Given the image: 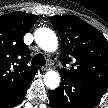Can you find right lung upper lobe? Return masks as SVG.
<instances>
[{"instance_id":"cb5924a9","label":"right lung upper lobe","mask_w":108,"mask_h":108,"mask_svg":"<svg viewBox=\"0 0 108 108\" xmlns=\"http://www.w3.org/2000/svg\"><path fill=\"white\" fill-rule=\"evenodd\" d=\"M37 16L13 12L0 16V95L15 92L30 82L36 72L28 66L30 52L23 42Z\"/></svg>"}]
</instances>
